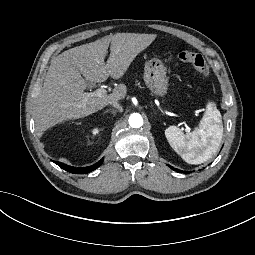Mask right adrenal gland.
<instances>
[{
	"label": "right adrenal gland",
	"mask_w": 255,
	"mask_h": 255,
	"mask_svg": "<svg viewBox=\"0 0 255 255\" xmlns=\"http://www.w3.org/2000/svg\"><path fill=\"white\" fill-rule=\"evenodd\" d=\"M111 111H112L113 113H115V110L112 109ZM108 112H109V111H105V112L102 114V116L105 115V114L108 113Z\"/></svg>",
	"instance_id": "obj_1"
}]
</instances>
